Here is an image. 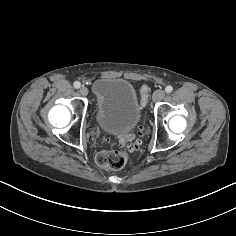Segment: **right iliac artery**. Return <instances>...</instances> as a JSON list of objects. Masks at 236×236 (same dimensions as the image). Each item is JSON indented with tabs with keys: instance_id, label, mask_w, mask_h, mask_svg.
<instances>
[{
	"instance_id": "obj_1",
	"label": "right iliac artery",
	"mask_w": 236,
	"mask_h": 236,
	"mask_svg": "<svg viewBox=\"0 0 236 236\" xmlns=\"http://www.w3.org/2000/svg\"><path fill=\"white\" fill-rule=\"evenodd\" d=\"M80 86H81L80 82H78V81L74 82V87L76 89L80 88Z\"/></svg>"
}]
</instances>
